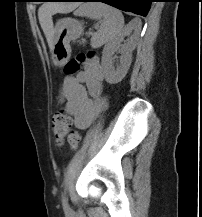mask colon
Masks as SVG:
<instances>
[{
	"instance_id": "obj_1",
	"label": "colon",
	"mask_w": 202,
	"mask_h": 217,
	"mask_svg": "<svg viewBox=\"0 0 202 217\" xmlns=\"http://www.w3.org/2000/svg\"><path fill=\"white\" fill-rule=\"evenodd\" d=\"M90 53L88 55L81 54L74 59L68 61L64 67V74L67 76L74 75L79 72L81 66L86 61L87 57L92 56ZM71 125V115L65 110L58 111L52 120V133L55 141L57 143H62L66 138L72 149H77L81 142V135L79 132L70 129Z\"/></svg>"
}]
</instances>
